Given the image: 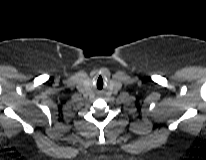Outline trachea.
Segmentation results:
<instances>
[{
    "instance_id": "obj_1",
    "label": "trachea",
    "mask_w": 206,
    "mask_h": 160,
    "mask_svg": "<svg viewBox=\"0 0 206 160\" xmlns=\"http://www.w3.org/2000/svg\"><path fill=\"white\" fill-rule=\"evenodd\" d=\"M100 84V88L103 87V79L101 76H99L98 81H97V85Z\"/></svg>"
}]
</instances>
